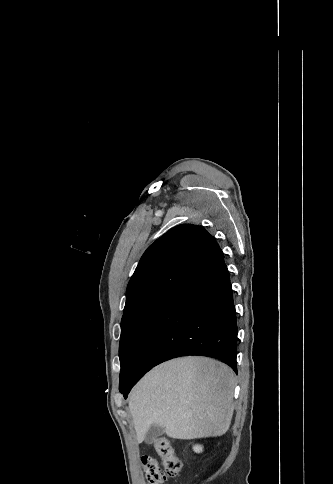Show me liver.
Segmentation results:
<instances>
[{"instance_id": "obj_1", "label": "liver", "mask_w": 333, "mask_h": 484, "mask_svg": "<svg viewBox=\"0 0 333 484\" xmlns=\"http://www.w3.org/2000/svg\"><path fill=\"white\" fill-rule=\"evenodd\" d=\"M234 373L205 357H184L156 366L132 389L129 411L138 442L152 425L175 439L219 437L233 415Z\"/></svg>"}]
</instances>
